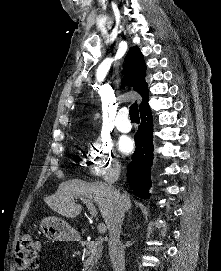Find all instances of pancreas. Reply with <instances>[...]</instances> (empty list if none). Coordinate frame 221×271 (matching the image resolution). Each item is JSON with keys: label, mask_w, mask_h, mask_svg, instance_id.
<instances>
[{"label": "pancreas", "mask_w": 221, "mask_h": 271, "mask_svg": "<svg viewBox=\"0 0 221 271\" xmlns=\"http://www.w3.org/2000/svg\"><path fill=\"white\" fill-rule=\"evenodd\" d=\"M78 245H85L84 255H87L84 263V269L88 271H94L95 265L98 263V259L102 257L103 247L102 241H89V240H78Z\"/></svg>", "instance_id": "obj_1"}]
</instances>
